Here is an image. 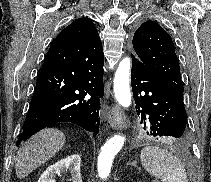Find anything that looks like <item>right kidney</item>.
Returning a JSON list of instances; mask_svg holds the SVG:
<instances>
[{
	"instance_id": "right-kidney-1",
	"label": "right kidney",
	"mask_w": 211,
	"mask_h": 182,
	"mask_svg": "<svg viewBox=\"0 0 211 182\" xmlns=\"http://www.w3.org/2000/svg\"><path fill=\"white\" fill-rule=\"evenodd\" d=\"M81 157L79 155H71L65 159H61L57 163L49 166L40 176L37 182H56V175L70 172L72 182H82L80 173Z\"/></svg>"
}]
</instances>
